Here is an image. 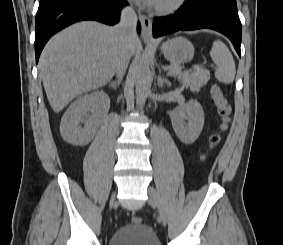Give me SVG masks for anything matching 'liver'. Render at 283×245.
I'll list each match as a JSON object with an SVG mask.
<instances>
[{"label":"liver","mask_w":283,"mask_h":245,"mask_svg":"<svg viewBox=\"0 0 283 245\" xmlns=\"http://www.w3.org/2000/svg\"><path fill=\"white\" fill-rule=\"evenodd\" d=\"M137 46L135 37L128 45L130 56ZM122 47L115 27L94 21L76 23L53 36L39 60L53 111L59 113L77 96L106 85L116 71Z\"/></svg>","instance_id":"obj_1"}]
</instances>
